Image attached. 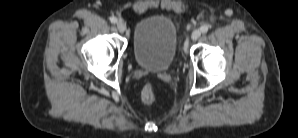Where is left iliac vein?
I'll use <instances>...</instances> for the list:
<instances>
[{"label": "left iliac vein", "instance_id": "obj_1", "mask_svg": "<svg viewBox=\"0 0 298 138\" xmlns=\"http://www.w3.org/2000/svg\"><path fill=\"white\" fill-rule=\"evenodd\" d=\"M201 36V30L195 29L191 34L192 40H197ZM185 48H187V42L185 43Z\"/></svg>", "mask_w": 298, "mask_h": 138}]
</instances>
